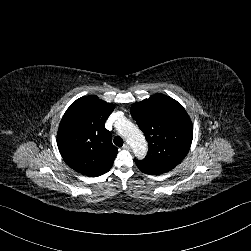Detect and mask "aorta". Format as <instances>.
<instances>
[{
	"instance_id": "obj_1",
	"label": "aorta",
	"mask_w": 251,
	"mask_h": 251,
	"mask_svg": "<svg viewBox=\"0 0 251 251\" xmlns=\"http://www.w3.org/2000/svg\"><path fill=\"white\" fill-rule=\"evenodd\" d=\"M115 124L119 125V127H116V130L131 145L135 156L138 159H143V157L147 153L148 148L142 131L126 118L118 119Z\"/></svg>"
}]
</instances>
